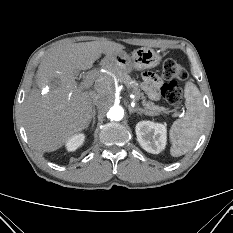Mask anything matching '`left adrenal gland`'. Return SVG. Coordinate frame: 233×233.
Wrapping results in <instances>:
<instances>
[{
	"label": "left adrenal gland",
	"mask_w": 233,
	"mask_h": 233,
	"mask_svg": "<svg viewBox=\"0 0 233 233\" xmlns=\"http://www.w3.org/2000/svg\"><path fill=\"white\" fill-rule=\"evenodd\" d=\"M128 109H129V114L137 113L141 115L143 113V109L140 107L132 108L131 106H128Z\"/></svg>",
	"instance_id": "obj_1"
}]
</instances>
